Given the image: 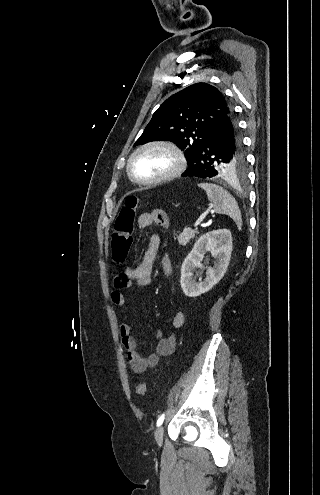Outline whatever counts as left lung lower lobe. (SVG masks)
Returning <instances> with one entry per match:
<instances>
[{"label": "left lung lower lobe", "instance_id": "left-lung-lower-lobe-1", "mask_svg": "<svg viewBox=\"0 0 320 495\" xmlns=\"http://www.w3.org/2000/svg\"><path fill=\"white\" fill-rule=\"evenodd\" d=\"M241 145L240 134L231 113L216 125L209 138L189 161V168L182 176H217L216 166L220 161L234 157L240 151Z\"/></svg>", "mask_w": 320, "mask_h": 495}]
</instances>
